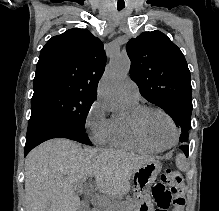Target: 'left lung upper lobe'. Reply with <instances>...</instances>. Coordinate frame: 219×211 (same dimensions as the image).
<instances>
[{
  "label": "left lung upper lobe",
  "instance_id": "5c2ea615",
  "mask_svg": "<svg viewBox=\"0 0 219 211\" xmlns=\"http://www.w3.org/2000/svg\"><path fill=\"white\" fill-rule=\"evenodd\" d=\"M126 50L130 77L141 95L170 115L181 129L180 142H187L193 106L190 71L183 53L157 30L131 39Z\"/></svg>",
  "mask_w": 219,
  "mask_h": 211
}]
</instances>
